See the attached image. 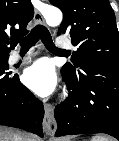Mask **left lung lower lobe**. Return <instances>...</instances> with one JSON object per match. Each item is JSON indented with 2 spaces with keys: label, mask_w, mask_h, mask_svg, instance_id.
<instances>
[{
  "label": "left lung lower lobe",
  "mask_w": 119,
  "mask_h": 141,
  "mask_svg": "<svg viewBox=\"0 0 119 141\" xmlns=\"http://www.w3.org/2000/svg\"><path fill=\"white\" fill-rule=\"evenodd\" d=\"M61 73L69 96L55 108V135L106 133L119 140V67L86 68L75 76Z\"/></svg>",
  "instance_id": "1"
}]
</instances>
